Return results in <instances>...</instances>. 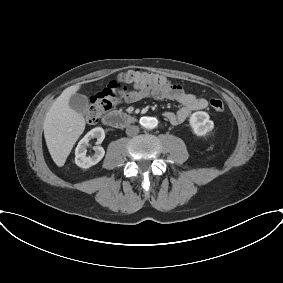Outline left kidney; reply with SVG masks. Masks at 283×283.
<instances>
[{
	"instance_id": "obj_1",
	"label": "left kidney",
	"mask_w": 283,
	"mask_h": 283,
	"mask_svg": "<svg viewBox=\"0 0 283 283\" xmlns=\"http://www.w3.org/2000/svg\"><path fill=\"white\" fill-rule=\"evenodd\" d=\"M189 123L197 136H205L214 128L213 121L210 120L208 113L204 111L194 112L189 118Z\"/></svg>"
}]
</instances>
